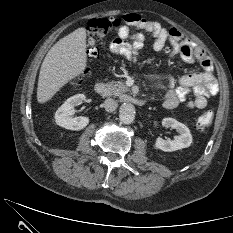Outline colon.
I'll return each mask as SVG.
<instances>
[{"mask_svg": "<svg viewBox=\"0 0 233 233\" xmlns=\"http://www.w3.org/2000/svg\"><path fill=\"white\" fill-rule=\"evenodd\" d=\"M121 22L118 18L92 19L87 26V54L90 58H95L99 54V45L101 40L113 30L119 28ZM86 71L83 77L88 75ZM212 111H206L193 121V127L197 130H204L209 127L213 121Z\"/></svg>", "mask_w": 233, "mask_h": 233, "instance_id": "obj_1", "label": "colon"}]
</instances>
